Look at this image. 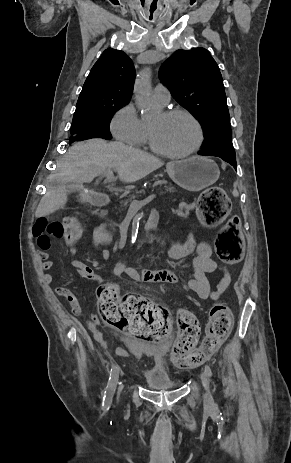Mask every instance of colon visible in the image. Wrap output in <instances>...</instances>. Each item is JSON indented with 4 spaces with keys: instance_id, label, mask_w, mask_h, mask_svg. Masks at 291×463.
Here are the masks:
<instances>
[{
    "instance_id": "5ec220e1",
    "label": "colon",
    "mask_w": 291,
    "mask_h": 463,
    "mask_svg": "<svg viewBox=\"0 0 291 463\" xmlns=\"http://www.w3.org/2000/svg\"><path fill=\"white\" fill-rule=\"evenodd\" d=\"M231 202L225 191L218 186L202 192L197 202V214L205 226H215L228 215ZM240 219L232 217L218 232L215 249L218 258L226 264H237L242 258L243 237ZM83 233L82 222L77 217L49 222L37 219L34 236H54L67 240L78 239ZM98 313L106 324L124 333L149 341H160L171 329L168 311L148 299L129 295L122 297L115 283H106L97 288ZM178 335L171 351L172 363L180 369H191L206 361L230 333L234 317L223 303L210 310L206 336L200 348L196 344L200 326L195 316L185 310L176 314Z\"/></svg>"
}]
</instances>
